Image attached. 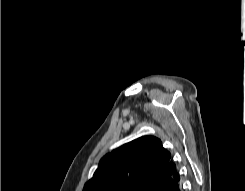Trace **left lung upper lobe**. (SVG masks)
Listing matches in <instances>:
<instances>
[{"label":"left lung upper lobe","instance_id":"obj_1","mask_svg":"<svg viewBox=\"0 0 245 191\" xmlns=\"http://www.w3.org/2000/svg\"><path fill=\"white\" fill-rule=\"evenodd\" d=\"M176 170L155 136H142L103 156L83 191H158Z\"/></svg>","mask_w":245,"mask_h":191}]
</instances>
